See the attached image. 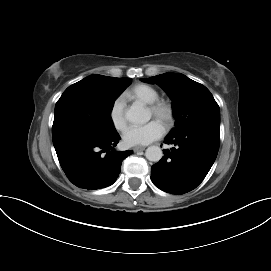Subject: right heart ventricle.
<instances>
[{
  "label": "right heart ventricle",
  "instance_id": "obj_1",
  "mask_svg": "<svg viewBox=\"0 0 271 271\" xmlns=\"http://www.w3.org/2000/svg\"><path fill=\"white\" fill-rule=\"evenodd\" d=\"M126 95L147 105L159 99V92L148 84H138L131 88Z\"/></svg>",
  "mask_w": 271,
  "mask_h": 271
}]
</instances>
